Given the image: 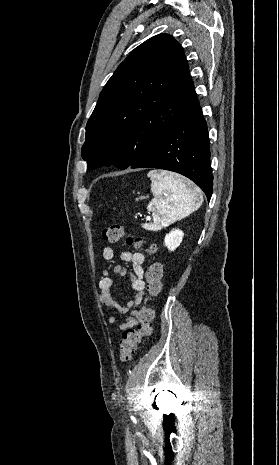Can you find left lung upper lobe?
I'll list each match as a JSON object with an SVG mask.
<instances>
[{"instance_id":"1","label":"left lung upper lobe","mask_w":279,"mask_h":465,"mask_svg":"<svg viewBox=\"0 0 279 465\" xmlns=\"http://www.w3.org/2000/svg\"><path fill=\"white\" fill-rule=\"evenodd\" d=\"M192 91L182 46L168 34L143 42L108 80L87 122L88 168L130 167L177 120Z\"/></svg>"}]
</instances>
